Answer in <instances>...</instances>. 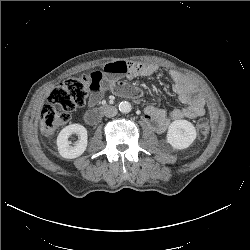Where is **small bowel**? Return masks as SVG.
Returning a JSON list of instances; mask_svg holds the SVG:
<instances>
[{"instance_id": "obj_1", "label": "small bowel", "mask_w": 250, "mask_h": 250, "mask_svg": "<svg viewBox=\"0 0 250 250\" xmlns=\"http://www.w3.org/2000/svg\"><path fill=\"white\" fill-rule=\"evenodd\" d=\"M155 72L156 66L152 64L125 61L107 63L102 69L89 74L91 78L89 104L93 106L98 103L107 90L118 95L137 97L141 91L128 87L123 78L150 77ZM170 77L173 82V91L185 106L174 108L169 112L154 106H148L145 109V120L159 133L164 132L174 120L197 118L205 112L204 100L196 87L176 71H171Z\"/></svg>"}]
</instances>
